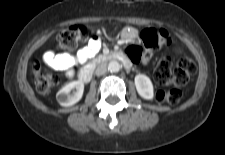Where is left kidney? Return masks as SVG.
<instances>
[{
	"mask_svg": "<svg viewBox=\"0 0 225 155\" xmlns=\"http://www.w3.org/2000/svg\"><path fill=\"white\" fill-rule=\"evenodd\" d=\"M135 86L138 94L147 100H151L154 96L153 84L149 77L143 74L135 76Z\"/></svg>",
	"mask_w": 225,
	"mask_h": 155,
	"instance_id": "obj_1",
	"label": "left kidney"
}]
</instances>
